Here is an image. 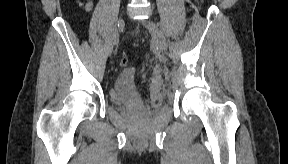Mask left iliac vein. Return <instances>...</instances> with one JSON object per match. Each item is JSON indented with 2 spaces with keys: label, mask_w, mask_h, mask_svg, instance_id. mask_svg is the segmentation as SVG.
<instances>
[{
  "label": "left iliac vein",
  "mask_w": 288,
  "mask_h": 164,
  "mask_svg": "<svg viewBox=\"0 0 288 164\" xmlns=\"http://www.w3.org/2000/svg\"><path fill=\"white\" fill-rule=\"evenodd\" d=\"M143 23L150 32L152 41L155 46L158 48L159 51H164L167 46L166 38L158 25L151 19L144 20Z\"/></svg>",
  "instance_id": "4c4485c4"
}]
</instances>
